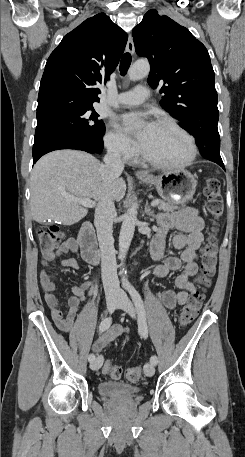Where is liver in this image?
<instances>
[{
  "mask_svg": "<svg viewBox=\"0 0 245 457\" xmlns=\"http://www.w3.org/2000/svg\"><path fill=\"white\" fill-rule=\"evenodd\" d=\"M101 164L98 158L84 150H53L34 164L31 172V214L34 220H60L63 224H75L88 212L65 196L101 200L103 192L113 200H121L126 192L122 176L110 186H103Z\"/></svg>",
  "mask_w": 245,
  "mask_h": 457,
  "instance_id": "6515ba94",
  "label": "liver"
}]
</instances>
